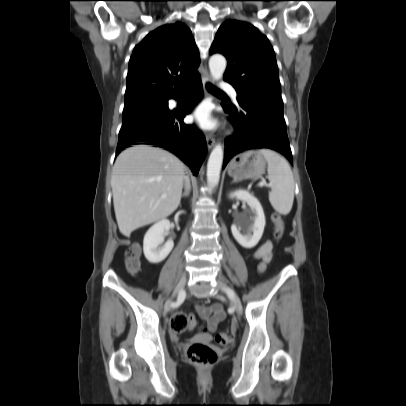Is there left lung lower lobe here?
I'll list each match as a JSON object with an SVG mask.
<instances>
[{"label":"left lung lower lobe","mask_w":406,"mask_h":406,"mask_svg":"<svg viewBox=\"0 0 406 406\" xmlns=\"http://www.w3.org/2000/svg\"><path fill=\"white\" fill-rule=\"evenodd\" d=\"M235 128L225 140L224 165L236 154L254 148H269L283 154L291 164L292 153L283 117V108L251 102L243 107L223 105Z\"/></svg>","instance_id":"1"}]
</instances>
